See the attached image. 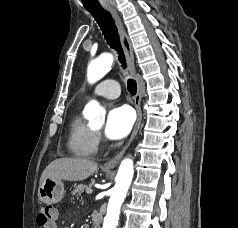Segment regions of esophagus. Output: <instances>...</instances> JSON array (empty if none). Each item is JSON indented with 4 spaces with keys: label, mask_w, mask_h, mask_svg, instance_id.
Here are the masks:
<instances>
[{
    "label": "esophagus",
    "mask_w": 238,
    "mask_h": 228,
    "mask_svg": "<svg viewBox=\"0 0 238 228\" xmlns=\"http://www.w3.org/2000/svg\"><path fill=\"white\" fill-rule=\"evenodd\" d=\"M108 10L111 13L113 19L115 20L116 26L118 28L120 40H121V43H122V46L124 48V52L126 55L129 71H130L131 75L136 79V82H137V93L134 97V105H135V108L137 111V120L134 125L133 131H132V134L130 136L128 143L125 145V147L119 153H117L113 158H111L104 164V168L113 169L117 166V164L121 160L122 156L124 155L125 151L129 147V145L131 144V142L133 141V139L135 138V136L139 130L141 120H142V111H141L142 85H141L140 80L136 76L133 48H132L131 41L127 35V32L124 28V25L122 23V20L119 16L118 12L114 8L111 7Z\"/></svg>",
    "instance_id": "obj_1"
}]
</instances>
